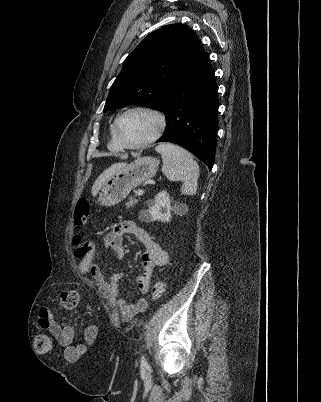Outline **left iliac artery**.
Here are the masks:
<instances>
[{
	"label": "left iliac artery",
	"mask_w": 321,
	"mask_h": 402,
	"mask_svg": "<svg viewBox=\"0 0 321 402\" xmlns=\"http://www.w3.org/2000/svg\"><path fill=\"white\" fill-rule=\"evenodd\" d=\"M141 365L144 366V367L148 366L147 360H146V358L144 356L141 357Z\"/></svg>",
	"instance_id": "1"
}]
</instances>
